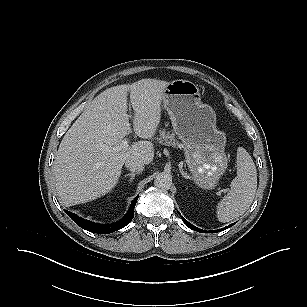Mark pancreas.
I'll list each match as a JSON object with an SVG mask.
<instances>
[{"instance_id":"pancreas-1","label":"pancreas","mask_w":307,"mask_h":307,"mask_svg":"<svg viewBox=\"0 0 307 307\" xmlns=\"http://www.w3.org/2000/svg\"><path fill=\"white\" fill-rule=\"evenodd\" d=\"M156 140L159 144L165 146H172L175 148L183 147V145L175 139V134L173 132L171 133L166 131L165 129L159 130V135L157 136Z\"/></svg>"}]
</instances>
